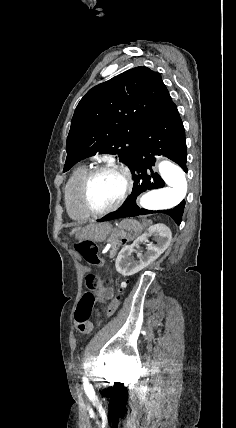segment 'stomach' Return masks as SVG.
<instances>
[{
  "mask_svg": "<svg viewBox=\"0 0 236 428\" xmlns=\"http://www.w3.org/2000/svg\"><path fill=\"white\" fill-rule=\"evenodd\" d=\"M111 232L109 224H89L87 228H83L81 234L76 238L83 240H93V242H104Z\"/></svg>",
  "mask_w": 236,
  "mask_h": 428,
  "instance_id": "1",
  "label": "stomach"
}]
</instances>
